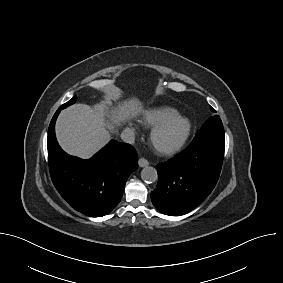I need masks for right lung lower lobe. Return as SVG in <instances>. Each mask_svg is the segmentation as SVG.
I'll return each instance as SVG.
<instances>
[{
	"mask_svg": "<svg viewBox=\"0 0 283 283\" xmlns=\"http://www.w3.org/2000/svg\"><path fill=\"white\" fill-rule=\"evenodd\" d=\"M54 114L48 130V162L51 179L65 201L86 216L101 217L120 202L129 175L138 167L130 144L112 140L88 160L65 153L55 136Z\"/></svg>",
	"mask_w": 283,
	"mask_h": 283,
	"instance_id": "right-lung-lower-lobe-1",
	"label": "right lung lower lobe"
}]
</instances>
